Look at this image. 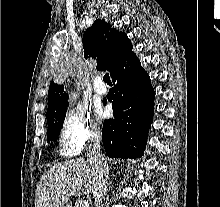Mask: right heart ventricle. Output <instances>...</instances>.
Here are the masks:
<instances>
[{"label":"right heart ventricle","instance_id":"e07e8e85","mask_svg":"<svg viewBox=\"0 0 220 207\" xmlns=\"http://www.w3.org/2000/svg\"><path fill=\"white\" fill-rule=\"evenodd\" d=\"M61 154L65 157H73L75 155H77L76 152H73V151H67V150H64V149H61Z\"/></svg>","mask_w":220,"mask_h":207}]
</instances>
